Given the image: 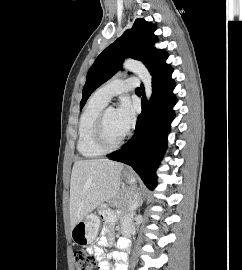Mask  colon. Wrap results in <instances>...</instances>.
Listing matches in <instances>:
<instances>
[{
  "label": "colon",
  "instance_id": "5ec220e1",
  "mask_svg": "<svg viewBox=\"0 0 242 270\" xmlns=\"http://www.w3.org/2000/svg\"><path fill=\"white\" fill-rule=\"evenodd\" d=\"M74 263L76 270H93L96 265L95 257L82 250L75 251Z\"/></svg>",
  "mask_w": 242,
  "mask_h": 270
}]
</instances>
